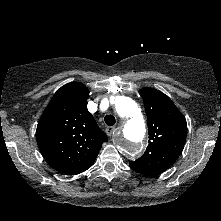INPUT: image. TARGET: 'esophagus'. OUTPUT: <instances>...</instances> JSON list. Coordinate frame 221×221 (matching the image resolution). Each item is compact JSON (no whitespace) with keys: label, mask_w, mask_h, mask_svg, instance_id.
Instances as JSON below:
<instances>
[{"label":"esophagus","mask_w":221,"mask_h":221,"mask_svg":"<svg viewBox=\"0 0 221 221\" xmlns=\"http://www.w3.org/2000/svg\"><path fill=\"white\" fill-rule=\"evenodd\" d=\"M115 131V127L109 126L106 128L105 132L108 136H111Z\"/></svg>","instance_id":"34e87169"}]
</instances>
